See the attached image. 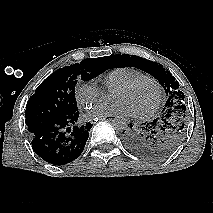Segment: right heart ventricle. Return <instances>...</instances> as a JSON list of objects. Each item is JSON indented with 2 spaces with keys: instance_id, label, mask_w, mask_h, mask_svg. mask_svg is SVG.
<instances>
[{
  "instance_id": "1",
  "label": "right heart ventricle",
  "mask_w": 213,
  "mask_h": 213,
  "mask_svg": "<svg viewBox=\"0 0 213 213\" xmlns=\"http://www.w3.org/2000/svg\"><path fill=\"white\" fill-rule=\"evenodd\" d=\"M143 76L146 75L135 67H117L106 73L102 77V82L104 87L110 91Z\"/></svg>"
}]
</instances>
